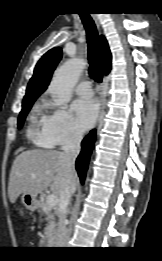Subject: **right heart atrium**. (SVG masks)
<instances>
[{
  "instance_id": "d8ad5b80",
  "label": "right heart atrium",
  "mask_w": 162,
  "mask_h": 261,
  "mask_svg": "<svg viewBox=\"0 0 162 261\" xmlns=\"http://www.w3.org/2000/svg\"><path fill=\"white\" fill-rule=\"evenodd\" d=\"M81 132L71 114L64 107H52L41 120L38 142L48 146H70L78 143Z\"/></svg>"
}]
</instances>
